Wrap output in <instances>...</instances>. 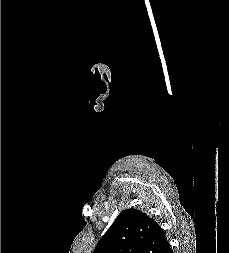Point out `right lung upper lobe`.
<instances>
[{"instance_id":"right-lung-upper-lobe-1","label":"right lung upper lobe","mask_w":229,"mask_h":253,"mask_svg":"<svg viewBox=\"0 0 229 253\" xmlns=\"http://www.w3.org/2000/svg\"><path fill=\"white\" fill-rule=\"evenodd\" d=\"M169 242L158 223L140 210H123L93 253H163Z\"/></svg>"}]
</instances>
